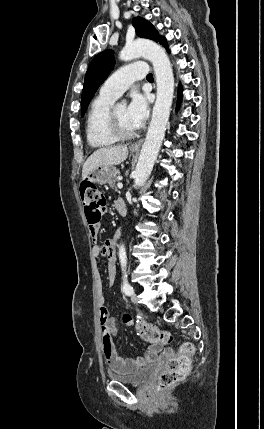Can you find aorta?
Instances as JSON below:
<instances>
[{
  "mask_svg": "<svg viewBox=\"0 0 264 429\" xmlns=\"http://www.w3.org/2000/svg\"><path fill=\"white\" fill-rule=\"evenodd\" d=\"M139 57H144L153 64L157 98L134 172L135 188L141 187L151 174L165 135L174 93L173 70L165 50L151 40L137 39L127 43L120 52V59L123 61H130ZM122 103L125 105L124 101ZM118 255L121 267H126L127 255L124 245H120Z\"/></svg>",
  "mask_w": 264,
  "mask_h": 429,
  "instance_id": "762f6f07",
  "label": "aorta"
}]
</instances>
